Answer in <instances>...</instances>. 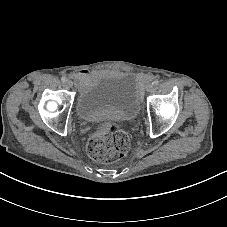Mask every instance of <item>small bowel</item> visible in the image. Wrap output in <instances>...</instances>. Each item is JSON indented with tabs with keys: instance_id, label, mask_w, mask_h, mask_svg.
Here are the masks:
<instances>
[{
	"instance_id": "1",
	"label": "small bowel",
	"mask_w": 227,
	"mask_h": 227,
	"mask_svg": "<svg viewBox=\"0 0 227 227\" xmlns=\"http://www.w3.org/2000/svg\"><path fill=\"white\" fill-rule=\"evenodd\" d=\"M91 74L89 71L87 70H80L78 72L75 73V78L81 83V84H85L87 83V81L89 80ZM138 80L140 82H145L147 80V77L144 75H139L138 76Z\"/></svg>"
}]
</instances>
